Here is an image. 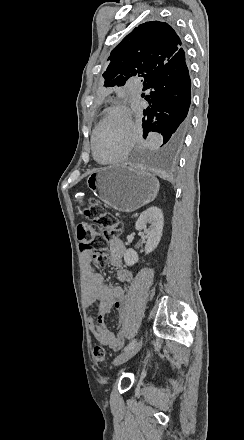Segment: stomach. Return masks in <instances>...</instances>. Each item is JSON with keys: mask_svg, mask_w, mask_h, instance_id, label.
I'll return each mask as SVG.
<instances>
[{"mask_svg": "<svg viewBox=\"0 0 244 440\" xmlns=\"http://www.w3.org/2000/svg\"><path fill=\"white\" fill-rule=\"evenodd\" d=\"M89 190L119 212H135L155 200L159 182L149 170L134 166H107L92 172L86 182ZM85 194L78 192L76 200L83 204Z\"/></svg>", "mask_w": 244, "mask_h": 440, "instance_id": "0dacf381", "label": "stomach"}]
</instances>
